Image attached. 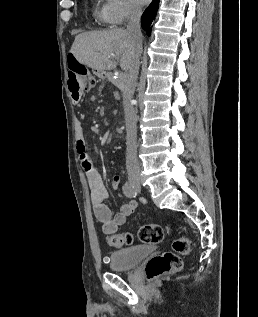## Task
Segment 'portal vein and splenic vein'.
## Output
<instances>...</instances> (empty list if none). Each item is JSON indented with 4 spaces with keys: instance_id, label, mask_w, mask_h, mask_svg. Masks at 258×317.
Returning a JSON list of instances; mask_svg holds the SVG:
<instances>
[{
    "instance_id": "1",
    "label": "portal vein and splenic vein",
    "mask_w": 258,
    "mask_h": 317,
    "mask_svg": "<svg viewBox=\"0 0 258 317\" xmlns=\"http://www.w3.org/2000/svg\"><path fill=\"white\" fill-rule=\"evenodd\" d=\"M113 58H116V54H112Z\"/></svg>"
}]
</instances>
